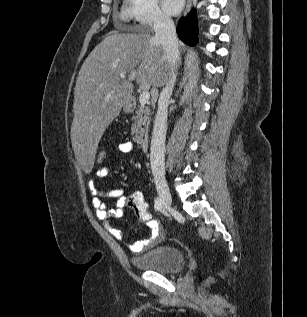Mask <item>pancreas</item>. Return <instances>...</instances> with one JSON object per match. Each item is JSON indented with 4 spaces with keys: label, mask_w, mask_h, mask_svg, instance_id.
<instances>
[{
    "label": "pancreas",
    "mask_w": 307,
    "mask_h": 317,
    "mask_svg": "<svg viewBox=\"0 0 307 317\" xmlns=\"http://www.w3.org/2000/svg\"><path fill=\"white\" fill-rule=\"evenodd\" d=\"M135 113L136 115L132 116L131 134L135 143L142 144L143 137L146 136L150 125V109L147 106L139 105Z\"/></svg>",
    "instance_id": "obj_1"
}]
</instances>
